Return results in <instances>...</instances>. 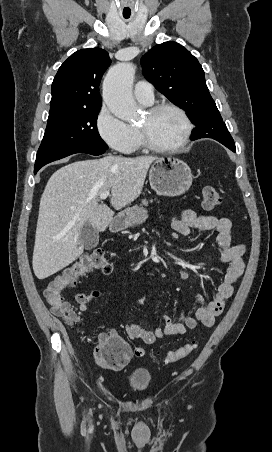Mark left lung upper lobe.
Wrapping results in <instances>:
<instances>
[{
  "mask_svg": "<svg viewBox=\"0 0 272 452\" xmlns=\"http://www.w3.org/2000/svg\"><path fill=\"white\" fill-rule=\"evenodd\" d=\"M143 75L172 103L187 112L196 125L192 136L230 138L231 135L212 99L202 66L185 47L164 42L141 58ZM232 149H235L233 139Z\"/></svg>",
  "mask_w": 272,
  "mask_h": 452,
  "instance_id": "left-lung-upper-lobe-1",
  "label": "left lung upper lobe"
}]
</instances>
